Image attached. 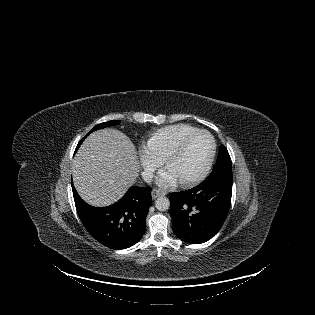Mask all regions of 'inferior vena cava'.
<instances>
[{"label":"inferior vena cava","mask_w":315,"mask_h":315,"mask_svg":"<svg viewBox=\"0 0 315 315\" xmlns=\"http://www.w3.org/2000/svg\"><path fill=\"white\" fill-rule=\"evenodd\" d=\"M153 177L154 175L152 172H149V171L142 172V178L147 183L152 182Z\"/></svg>","instance_id":"inferior-vena-cava-1"}]
</instances>
